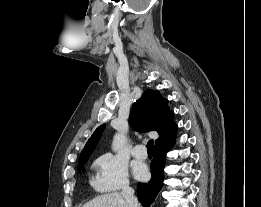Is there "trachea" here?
I'll list each match as a JSON object with an SVG mask.
<instances>
[{
    "label": "trachea",
    "instance_id": "3493384b",
    "mask_svg": "<svg viewBox=\"0 0 261 207\" xmlns=\"http://www.w3.org/2000/svg\"><path fill=\"white\" fill-rule=\"evenodd\" d=\"M147 149H148V152H153L154 151V141L153 140H149L148 141Z\"/></svg>",
    "mask_w": 261,
    "mask_h": 207
}]
</instances>
